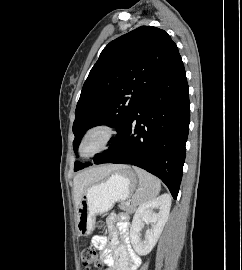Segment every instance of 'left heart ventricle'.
<instances>
[{
	"label": "left heart ventricle",
	"instance_id": "obj_1",
	"mask_svg": "<svg viewBox=\"0 0 242 270\" xmlns=\"http://www.w3.org/2000/svg\"><path fill=\"white\" fill-rule=\"evenodd\" d=\"M102 134L101 133H93L91 134L87 140L85 141L82 149L83 155L87 156L94 152L101 144Z\"/></svg>",
	"mask_w": 242,
	"mask_h": 270
}]
</instances>
